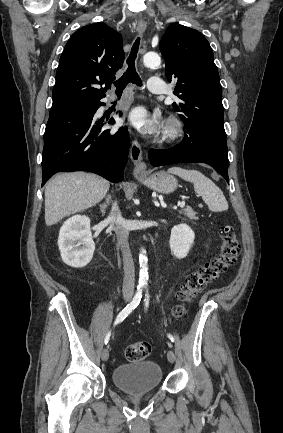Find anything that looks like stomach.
<instances>
[{
	"label": "stomach",
	"instance_id": "obj_1",
	"mask_svg": "<svg viewBox=\"0 0 283 433\" xmlns=\"http://www.w3.org/2000/svg\"><path fill=\"white\" fill-rule=\"evenodd\" d=\"M143 184H146L148 188H152V190H156V192H173L175 188H177V180L175 176L172 174H168L165 170H159V172H153L150 176L144 174Z\"/></svg>",
	"mask_w": 283,
	"mask_h": 433
}]
</instances>
